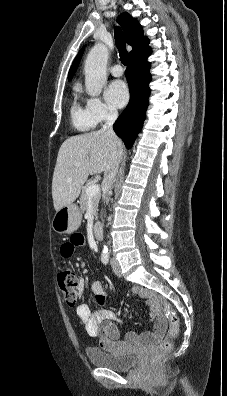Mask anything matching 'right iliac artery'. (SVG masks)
<instances>
[{"label":"right iliac artery","mask_w":227,"mask_h":396,"mask_svg":"<svg viewBox=\"0 0 227 396\" xmlns=\"http://www.w3.org/2000/svg\"><path fill=\"white\" fill-rule=\"evenodd\" d=\"M101 261L103 262V264L107 265L109 262V255L108 254H102L101 256Z\"/></svg>","instance_id":"82829eb1"}]
</instances>
